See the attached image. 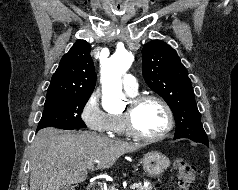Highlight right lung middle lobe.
<instances>
[{
	"mask_svg": "<svg viewBox=\"0 0 238 190\" xmlns=\"http://www.w3.org/2000/svg\"><path fill=\"white\" fill-rule=\"evenodd\" d=\"M89 97V95H69L46 99L37 130L49 126L65 130L85 128L81 112Z\"/></svg>",
	"mask_w": 238,
	"mask_h": 190,
	"instance_id": "dd1d6c3e",
	"label": "right lung middle lobe"
}]
</instances>
